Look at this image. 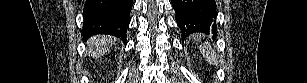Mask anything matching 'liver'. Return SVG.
<instances>
[{
    "label": "liver",
    "mask_w": 307,
    "mask_h": 83,
    "mask_svg": "<svg viewBox=\"0 0 307 83\" xmlns=\"http://www.w3.org/2000/svg\"><path fill=\"white\" fill-rule=\"evenodd\" d=\"M115 38L112 36H93L88 40V47L93 58H100L113 46Z\"/></svg>",
    "instance_id": "6515ba94"
}]
</instances>
